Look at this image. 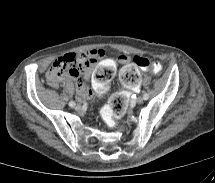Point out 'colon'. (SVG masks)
Returning a JSON list of instances; mask_svg holds the SVG:
<instances>
[{
    "label": "colon",
    "mask_w": 215,
    "mask_h": 183,
    "mask_svg": "<svg viewBox=\"0 0 215 183\" xmlns=\"http://www.w3.org/2000/svg\"><path fill=\"white\" fill-rule=\"evenodd\" d=\"M147 67H151L156 73L162 71V64L160 62H150L148 59L140 56H135L131 63L123 67L120 73L121 81L130 92L137 93L140 91L141 75L139 69ZM74 68L75 66L68 62H54L51 70L53 72V77L57 79L64 74L73 73ZM128 103L129 98L126 92H119L111 97L101 113V116L109 129L115 128L117 119L125 113Z\"/></svg>",
    "instance_id": "5ec220e1"
}]
</instances>
